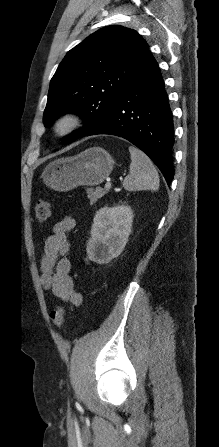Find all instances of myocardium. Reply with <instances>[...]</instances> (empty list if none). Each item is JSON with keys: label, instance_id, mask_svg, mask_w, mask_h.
Returning a JSON list of instances; mask_svg holds the SVG:
<instances>
[{"label": "myocardium", "instance_id": "1", "mask_svg": "<svg viewBox=\"0 0 219 447\" xmlns=\"http://www.w3.org/2000/svg\"><path fill=\"white\" fill-rule=\"evenodd\" d=\"M82 117L77 113H65L59 116L53 125V131L58 136H67L82 126Z\"/></svg>", "mask_w": 219, "mask_h": 447}]
</instances>
